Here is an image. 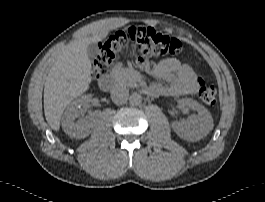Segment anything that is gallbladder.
Segmentation results:
<instances>
[{
    "instance_id": "gallbladder-1",
    "label": "gallbladder",
    "mask_w": 265,
    "mask_h": 202,
    "mask_svg": "<svg viewBox=\"0 0 265 202\" xmlns=\"http://www.w3.org/2000/svg\"><path fill=\"white\" fill-rule=\"evenodd\" d=\"M99 52L98 45L96 43H90L87 47V54L91 59H94Z\"/></svg>"
}]
</instances>
